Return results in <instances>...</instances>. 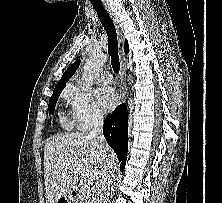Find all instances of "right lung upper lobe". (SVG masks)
<instances>
[{
  "label": "right lung upper lobe",
  "instance_id": "cb5924a9",
  "mask_svg": "<svg viewBox=\"0 0 222 203\" xmlns=\"http://www.w3.org/2000/svg\"><path fill=\"white\" fill-rule=\"evenodd\" d=\"M79 65H80V60H77L71 66L68 67V69L62 75V78L57 83L53 92L62 91V89L66 85V82L74 75V73L78 69Z\"/></svg>",
  "mask_w": 222,
  "mask_h": 203
}]
</instances>
